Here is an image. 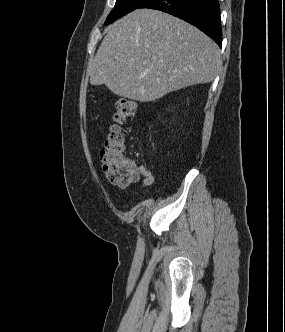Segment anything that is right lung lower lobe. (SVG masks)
<instances>
[{"label": "right lung lower lobe", "mask_w": 285, "mask_h": 332, "mask_svg": "<svg viewBox=\"0 0 285 332\" xmlns=\"http://www.w3.org/2000/svg\"><path fill=\"white\" fill-rule=\"evenodd\" d=\"M138 8L156 9L183 19L199 28L221 47L218 0H146Z\"/></svg>", "instance_id": "98d812e1"}]
</instances>
